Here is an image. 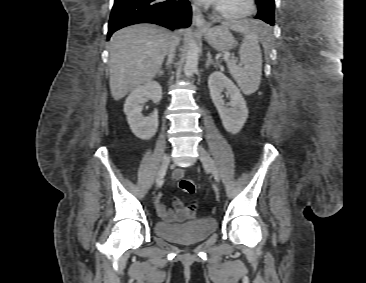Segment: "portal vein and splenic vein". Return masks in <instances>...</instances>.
<instances>
[{
  "mask_svg": "<svg viewBox=\"0 0 366 283\" xmlns=\"http://www.w3.org/2000/svg\"><path fill=\"white\" fill-rule=\"evenodd\" d=\"M229 56H230V54H229V53H225V54H224V59L228 60V59H229Z\"/></svg>",
  "mask_w": 366,
  "mask_h": 283,
  "instance_id": "18ae733b",
  "label": "portal vein and splenic vein"
}]
</instances>
